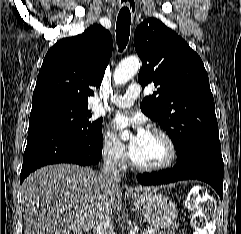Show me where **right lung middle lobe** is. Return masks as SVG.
I'll use <instances>...</instances> for the list:
<instances>
[{
    "instance_id": "obj_1",
    "label": "right lung middle lobe",
    "mask_w": 241,
    "mask_h": 234,
    "mask_svg": "<svg viewBox=\"0 0 241 234\" xmlns=\"http://www.w3.org/2000/svg\"><path fill=\"white\" fill-rule=\"evenodd\" d=\"M91 117L88 104L53 101L33 105L28 136L56 131L95 142L102 135V119L92 120Z\"/></svg>"
}]
</instances>
